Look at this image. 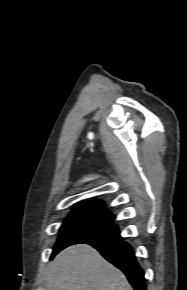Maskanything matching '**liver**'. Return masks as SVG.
<instances>
[{
  "label": "liver",
  "mask_w": 187,
  "mask_h": 290,
  "mask_svg": "<svg viewBox=\"0 0 187 290\" xmlns=\"http://www.w3.org/2000/svg\"><path fill=\"white\" fill-rule=\"evenodd\" d=\"M46 280L47 290H133L120 270L86 244L61 251L52 261Z\"/></svg>",
  "instance_id": "obj_1"
}]
</instances>
